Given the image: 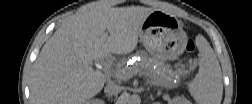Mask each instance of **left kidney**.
Returning a JSON list of instances; mask_svg holds the SVG:
<instances>
[{
    "label": "left kidney",
    "instance_id": "left-kidney-1",
    "mask_svg": "<svg viewBox=\"0 0 252 104\" xmlns=\"http://www.w3.org/2000/svg\"><path fill=\"white\" fill-rule=\"evenodd\" d=\"M173 102L174 103H188V101L185 99V98H182V97H176V98H173Z\"/></svg>",
    "mask_w": 252,
    "mask_h": 104
}]
</instances>
